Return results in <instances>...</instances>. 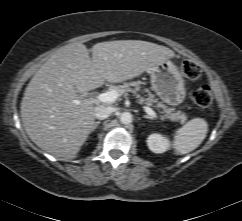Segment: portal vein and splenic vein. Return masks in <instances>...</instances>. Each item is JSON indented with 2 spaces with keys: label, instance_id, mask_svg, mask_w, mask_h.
Here are the masks:
<instances>
[{
  "label": "portal vein and splenic vein",
  "instance_id": "1",
  "mask_svg": "<svg viewBox=\"0 0 242 221\" xmlns=\"http://www.w3.org/2000/svg\"><path fill=\"white\" fill-rule=\"evenodd\" d=\"M119 96L120 95L116 90H111L97 95L96 101L103 102V103H112L116 101ZM143 108L148 115L154 118L158 117L157 114L150 107L144 106Z\"/></svg>",
  "mask_w": 242,
  "mask_h": 221
}]
</instances>
